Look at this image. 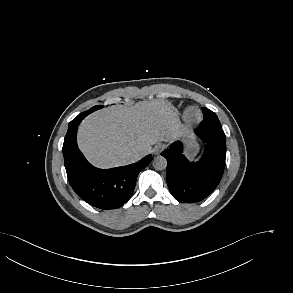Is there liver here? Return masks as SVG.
<instances>
[{
  "mask_svg": "<svg viewBox=\"0 0 293 293\" xmlns=\"http://www.w3.org/2000/svg\"><path fill=\"white\" fill-rule=\"evenodd\" d=\"M181 128L173 107L163 101H140L133 106L113 105L89 115L81 123L77 142L86 158L102 168L127 165L152 145L170 141Z\"/></svg>",
  "mask_w": 293,
  "mask_h": 293,
  "instance_id": "obj_1",
  "label": "liver"
}]
</instances>
